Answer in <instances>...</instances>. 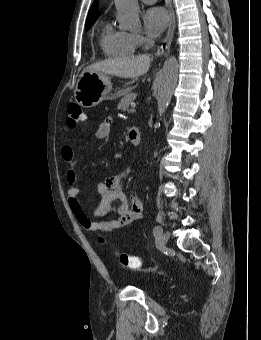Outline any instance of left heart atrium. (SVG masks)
<instances>
[{
  "instance_id": "obj_1",
  "label": "left heart atrium",
  "mask_w": 261,
  "mask_h": 340,
  "mask_svg": "<svg viewBox=\"0 0 261 340\" xmlns=\"http://www.w3.org/2000/svg\"><path fill=\"white\" fill-rule=\"evenodd\" d=\"M143 21L147 34L157 38L168 26L170 15L162 7H152L145 12Z\"/></svg>"
}]
</instances>
